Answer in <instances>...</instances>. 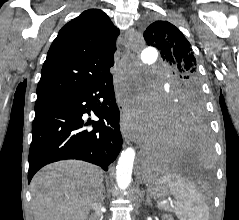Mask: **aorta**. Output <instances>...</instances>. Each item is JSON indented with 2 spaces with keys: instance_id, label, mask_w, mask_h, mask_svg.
Listing matches in <instances>:
<instances>
[{
  "instance_id": "1",
  "label": "aorta",
  "mask_w": 239,
  "mask_h": 220,
  "mask_svg": "<svg viewBox=\"0 0 239 220\" xmlns=\"http://www.w3.org/2000/svg\"><path fill=\"white\" fill-rule=\"evenodd\" d=\"M139 55H142V65H155V56L158 55L157 48H143ZM134 159L135 150L132 147L122 151L119 157L116 167V181L118 187L123 191L131 183Z\"/></svg>"
}]
</instances>
